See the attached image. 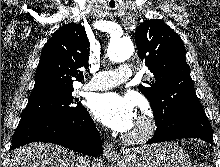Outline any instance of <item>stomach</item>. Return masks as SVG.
<instances>
[{"instance_id": "1", "label": "stomach", "mask_w": 220, "mask_h": 167, "mask_svg": "<svg viewBox=\"0 0 220 167\" xmlns=\"http://www.w3.org/2000/svg\"><path fill=\"white\" fill-rule=\"evenodd\" d=\"M115 162L118 167H192L190 157L176 143L153 144L126 151Z\"/></svg>"}]
</instances>
